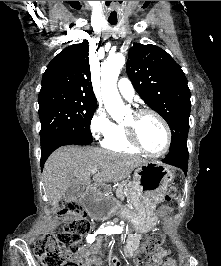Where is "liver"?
<instances>
[{
  "label": "liver",
  "instance_id": "liver-1",
  "mask_svg": "<svg viewBox=\"0 0 221 266\" xmlns=\"http://www.w3.org/2000/svg\"><path fill=\"white\" fill-rule=\"evenodd\" d=\"M146 161L139 156L115 153L98 147L65 146L54 151L43 169V183L49 203L57 208L72 184L88 186L91 169L95 185L121 181Z\"/></svg>",
  "mask_w": 221,
  "mask_h": 266
}]
</instances>
